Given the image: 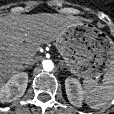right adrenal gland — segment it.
<instances>
[{"instance_id":"1","label":"right adrenal gland","mask_w":114,"mask_h":114,"mask_svg":"<svg viewBox=\"0 0 114 114\" xmlns=\"http://www.w3.org/2000/svg\"><path fill=\"white\" fill-rule=\"evenodd\" d=\"M28 67H29V66H23V70H24V69H27Z\"/></svg>"}]
</instances>
